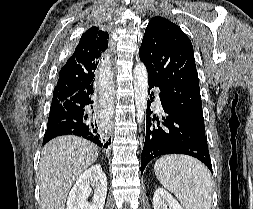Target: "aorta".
<instances>
[{
  "label": "aorta",
  "instance_id": "1",
  "mask_svg": "<svg viewBox=\"0 0 253 209\" xmlns=\"http://www.w3.org/2000/svg\"><path fill=\"white\" fill-rule=\"evenodd\" d=\"M134 91L136 119L139 124L143 123L146 112L147 96H148V74L143 63H138L134 67Z\"/></svg>",
  "mask_w": 253,
  "mask_h": 209
}]
</instances>
